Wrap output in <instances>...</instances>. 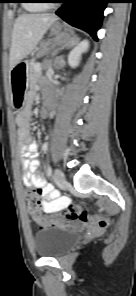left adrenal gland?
Returning <instances> with one entry per match:
<instances>
[{
  "label": "left adrenal gland",
  "instance_id": "a2214340",
  "mask_svg": "<svg viewBox=\"0 0 136 296\" xmlns=\"http://www.w3.org/2000/svg\"><path fill=\"white\" fill-rule=\"evenodd\" d=\"M79 38L77 35H73V37H70L66 40V42L63 44V46L61 47V49H64V48H70L72 47L73 45H75L77 42H78ZM58 63V68H62L64 65H65V62L63 59L61 58H58L57 61Z\"/></svg>",
  "mask_w": 136,
  "mask_h": 296
}]
</instances>
